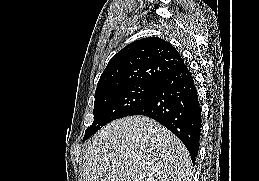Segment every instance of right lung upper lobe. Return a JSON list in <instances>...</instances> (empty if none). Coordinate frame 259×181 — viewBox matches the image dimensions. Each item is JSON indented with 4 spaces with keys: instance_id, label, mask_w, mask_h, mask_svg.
Instances as JSON below:
<instances>
[{
    "instance_id": "obj_1",
    "label": "right lung upper lobe",
    "mask_w": 259,
    "mask_h": 181,
    "mask_svg": "<svg viewBox=\"0 0 259 181\" xmlns=\"http://www.w3.org/2000/svg\"><path fill=\"white\" fill-rule=\"evenodd\" d=\"M183 64L178 51L165 40L140 39L124 47L109 61L95 93L134 83H156Z\"/></svg>"
}]
</instances>
